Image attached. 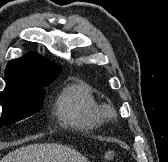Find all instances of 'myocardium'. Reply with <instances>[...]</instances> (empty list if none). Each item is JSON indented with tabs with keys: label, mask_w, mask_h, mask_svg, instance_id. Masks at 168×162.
<instances>
[{
	"label": "myocardium",
	"mask_w": 168,
	"mask_h": 162,
	"mask_svg": "<svg viewBox=\"0 0 168 162\" xmlns=\"http://www.w3.org/2000/svg\"><path fill=\"white\" fill-rule=\"evenodd\" d=\"M104 114L105 116H112L114 114V109L110 106H106L104 108Z\"/></svg>",
	"instance_id": "f54148a6"
}]
</instances>
